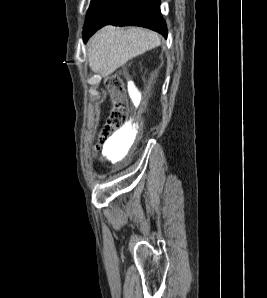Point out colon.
Listing matches in <instances>:
<instances>
[{"mask_svg": "<svg viewBox=\"0 0 267 298\" xmlns=\"http://www.w3.org/2000/svg\"><path fill=\"white\" fill-rule=\"evenodd\" d=\"M109 87L114 98V105L106 119L104 128L100 136L102 144L106 138L111 136L115 131L121 129L128 123V115L124 102L121 98L123 81L118 75H114L109 80ZM99 149V148H98Z\"/></svg>", "mask_w": 267, "mask_h": 298, "instance_id": "5ec220e1", "label": "colon"}]
</instances>
